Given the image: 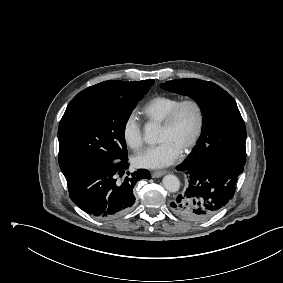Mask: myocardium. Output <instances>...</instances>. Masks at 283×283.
Listing matches in <instances>:
<instances>
[{
	"label": "myocardium",
	"mask_w": 283,
	"mask_h": 283,
	"mask_svg": "<svg viewBox=\"0 0 283 283\" xmlns=\"http://www.w3.org/2000/svg\"><path fill=\"white\" fill-rule=\"evenodd\" d=\"M186 106H192L195 109L197 122L192 137L190 138L188 143L184 146V148L181 150L183 153H187L194 148V146L199 141L201 134L203 132L204 123H205V112L202 104L195 98H187L180 100L169 112L168 116L161 124V128L163 129L166 130L172 129L176 124V121L178 119L181 110Z\"/></svg>",
	"instance_id": "f54148a6"
}]
</instances>
